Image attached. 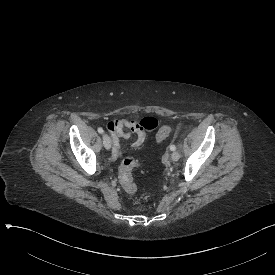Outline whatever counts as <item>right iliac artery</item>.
Here are the masks:
<instances>
[{"instance_id":"82829eb1","label":"right iliac artery","mask_w":275,"mask_h":275,"mask_svg":"<svg viewBox=\"0 0 275 275\" xmlns=\"http://www.w3.org/2000/svg\"><path fill=\"white\" fill-rule=\"evenodd\" d=\"M98 132H99L100 134H103V133H104V130H103L102 128H98Z\"/></svg>"}]
</instances>
